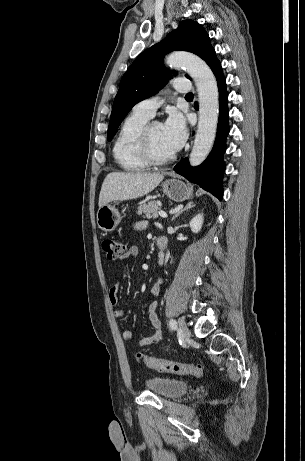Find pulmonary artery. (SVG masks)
I'll return each mask as SVG.
<instances>
[{
    "label": "pulmonary artery",
    "instance_id": "1",
    "mask_svg": "<svg viewBox=\"0 0 305 461\" xmlns=\"http://www.w3.org/2000/svg\"><path fill=\"white\" fill-rule=\"evenodd\" d=\"M173 88L180 93H185L190 90L188 80L185 78H176L174 80ZM161 103V97L154 96L137 103L134 107V111L152 118Z\"/></svg>",
    "mask_w": 305,
    "mask_h": 461
}]
</instances>
